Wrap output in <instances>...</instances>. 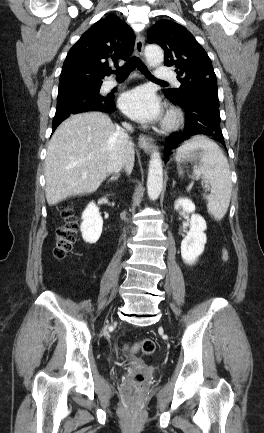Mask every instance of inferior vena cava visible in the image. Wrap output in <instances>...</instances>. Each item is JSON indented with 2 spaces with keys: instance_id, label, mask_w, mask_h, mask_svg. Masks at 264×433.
Here are the masks:
<instances>
[{
  "instance_id": "inferior-vena-cava-1",
  "label": "inferior vena cava",
  "mask_w": 264,
  "mask_h": 433,
  "mask_svg": "<svg viewBox=\"0 0 264 433\" xmlns=\"http://www.w3.org/2000/svg\"><path fill=\"white\" fill-rule=\"evenodd\" d=\"M133 128L129 123L123 122L122 127L117 126L114 133L116 139V150L112 156V163L109 169V173L119 172L126 165V154L129 150L130 140L129 132H132Z\"/></svg>"
}]
</instances>
